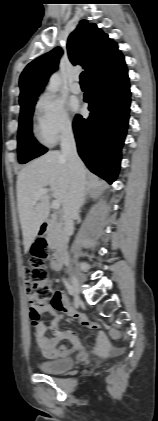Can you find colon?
<instances>
[{
    "instance_id": "colon-1",
    "label": "colon",
    "mask_w": 158,
    "mask_h": 421,
    "mask_svg": "<svg viewBox=\"0 0 158 421\" xmlns=\"http://www.w3.org/2000/svg\"><path fill=\"white\" fill-rule=\"evenodd\" d=\"M47 254V245L39 239L32 247L30 267L25 268L28 301L30 304V318L32 322L39 320L37 307L43 306L53 298L52 280L43 267V260Z\"/></svg>"
}]
</instances>
